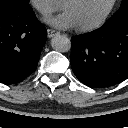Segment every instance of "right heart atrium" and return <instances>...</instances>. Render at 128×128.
Here are the masks:
<instances>
[{"instance_id":"obj_1","label":"right heart atrium","mask_w":128,"mask_h":128,"mask_svg":"<svg viewBox=\"0 0 128 128\" xmlns=\"http://www.w3.org/2000/svg\"><path fill=\"white\" fill-rule=\"evenodd\" d=\"M30 2L43 16H49L61 7L60 0H30Z\"/></svg>"}]
</instances>
